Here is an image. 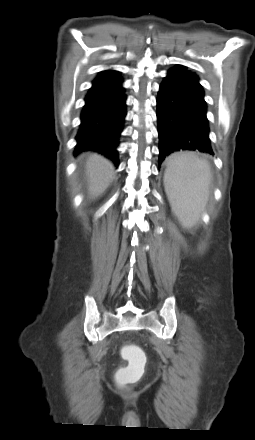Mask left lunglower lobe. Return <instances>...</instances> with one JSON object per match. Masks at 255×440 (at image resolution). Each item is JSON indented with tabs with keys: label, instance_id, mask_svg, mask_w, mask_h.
Here are the masks:
<instances>
[{
	"label": "left lung lower lobe",
	"instance_id": "obj_1",
	"mask_svg": "<svg viewBox=\"0 0 255 440\" xmlns=\"http://www.w3.org/2000/svg\"><path fill=\"white\" fill-rule=\"evenodd\" d=\"M204 90L185 72L172 68L160 85L157 97L159 166L179 150H199L214 155Z\"/></svg>",
	"mask_w": 255,
	"mask_h": 440
}]
</instances>
